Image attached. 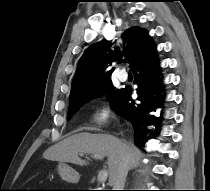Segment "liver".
Masks as SVG:
<instances>
[{"mask_svg": "<svg viewBox=\"0 0 210 191\" xmlns=\"http://www.w3.org/2000/svg\"><path fill=\"white\" fill-rule=\"evenodd\" d=\"M93 154L107 157L109 183L121 163L124 154L128 155L129 168L139 165L141 151L134 144H127L109 134H92L81 132L74 134L48 148L43 157L58 162H68L80 166L88 164L79 154Z\"/></svg>", "mask_w": 210, "mask_h": 191, "instance_id": "liver-1", "label": "liver"}]
</instances>
